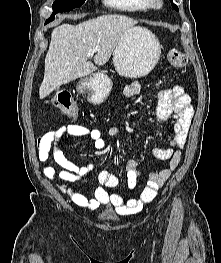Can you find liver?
Here are the masks:
<instances>
[{
	"mask_svg": "<svg viewBox=\"0 0 221 263\" xmlns=\"http://www.w3.org/2000/svg\"><path fill=\"white\" fill-rule=\"evenodd\" d=\"M138 22L123 15H102L78 25L63 24L51 33L45 57L44 79L39 88L41 99L59 86L96 71L87 56L95 50L94 63L106 64L123 34Z\"/></svg>",
	"mask_w": 221,
	"mask_h": 263,
	"instance_id": "6515ba94",
	"label": "liver"
}]
</instances>
